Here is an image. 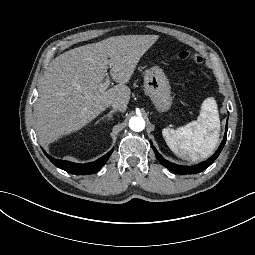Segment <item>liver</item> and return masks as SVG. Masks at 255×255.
Here are the masks:
<instances>
[{
	"mask_svg": "<svg viewBox=\"0 0 255 255\" xmlns=\"http://www.w3.org/2000/svg\"><path fill=\"white\" fill-rule=\"evenodd\" d=\"M158 35H122L71 49L52 60L44 73L35 106V129L42 143L84 127L113 102L125 112L130 99V80L144 53ZM109 58V59H108ZM110 66L118 84L100 93Z\"/></svg>",
	"mask_w": 255,
	"mask_h": 255,
	"instance_id": "1",
	"label": "liver"
}]
</instances>
